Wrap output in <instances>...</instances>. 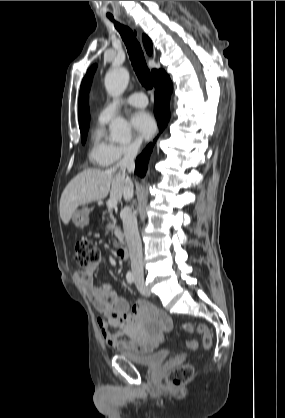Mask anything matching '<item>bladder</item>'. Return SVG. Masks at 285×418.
I'll return each instance as SVG.
<instances>
[{
  "mask_svg": "<svg viewBox=\"0 0 285 418\" xmlns=\"http://www.w3.org/2000/svg\"><path fill=\"white\" fill-rule=\"evenodd\" d=\"M120 355H123L135 364L144 367L163 364L168 358V352L164 349L137 352L135 350L126 348L120 350Z\"/></svg>",
  "mask_w": 285,
  "mask_h": 418,
  "instance_id": "obj_1",
  "label": "bladder"
}]
</instances>
